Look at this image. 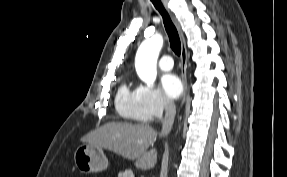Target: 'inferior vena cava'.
<instances>
[{"label": "inferior vena cava", "instance_id": "inferior-vena-cava-1", "mask_svg": "<svg viewBox=\"0 0 287 177\" xmlns=\"http://www.w3.org/2000/svg\"><path fill=\"white\" fill-rule=\"evenodd\" d=\"M164 107H165V116L164 119L162 120L161 134L166 136L170 133L172 129L174 118L176 115V106L171 99L166 98L164 100Z\"/></svg>", "mask_w": 287, "mask_h": 177}]
</instances>
